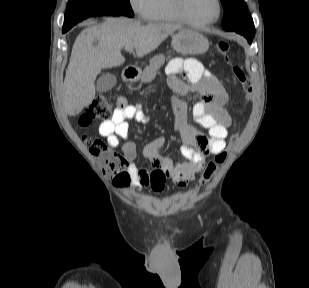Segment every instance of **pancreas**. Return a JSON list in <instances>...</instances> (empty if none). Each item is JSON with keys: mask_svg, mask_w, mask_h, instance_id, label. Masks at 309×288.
<instances>
[{"mask_svg": "<svg viewBox=\"0 0 309 288\" xmlns=\"http://www.w3.org/2000/svg\"><path fill=\"white\" fill-rule=\"evenodd\" d=\"M170 58L171 56H168L166 58L163 54L154 56L150 60L149 65L145 67L141 81L144 83L152 81L156 77V74L160 67L165 63L166 60H169Z\"/></svg>", "mask_w": 309, "mask_h": 288, "instance_id": "cf45deb5", "label": "pancreas"}]
</instances>
